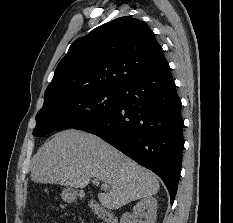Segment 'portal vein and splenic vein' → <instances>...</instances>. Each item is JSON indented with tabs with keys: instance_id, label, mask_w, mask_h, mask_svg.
Returning <instances> with one entry per match:
<instances>
[{
	"instance_id": "obj_1",
	"label": "portal vein and splenic vein",
	"mask_w": 233,
	"mask_h": 223,
	"mask_svg": "<svg viewBox=\"0 0 233 223\" xmlns=\"http://www.w3.org/2000/svg\"><path fill=\"white\" fill-rule=\"evenodd\" d=\"M92 183H95V185H99L100 179H98V177H93ZM103 187H107V183H103Z\"/></svg>"
}]
</instances>
